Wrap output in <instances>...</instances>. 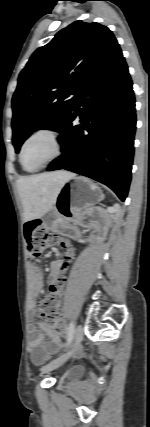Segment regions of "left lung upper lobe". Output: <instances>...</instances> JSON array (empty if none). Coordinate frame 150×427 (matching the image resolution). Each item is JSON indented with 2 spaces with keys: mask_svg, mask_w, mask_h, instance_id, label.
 Returning <instances> with one entry per match:
<instances>
[{
  "mask_svg": "<svg viewBox=\"0 0 150 427\" xmlns=\"http://www.w3.org/2000/svg\"><path fill=\"white\" fill-rule=\"evenodd\" d=\"M118 48L106 26L75 21L32 54L12 98L16 153L33 131L60 129L87 81Z\"/></svg>",
  "mask_w": 150,
  "mask_h": 427,
  "instance_id": "5c2ea615",
  "label": "left lung upper lobe"
}]
</instances>
